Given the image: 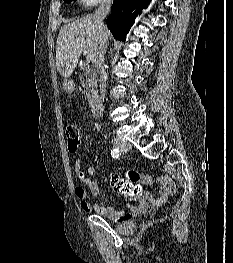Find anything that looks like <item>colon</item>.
Returning <instances> with one entry per match:
<instances>
[{
    "label": "colon",
    "instance_id": "colon-1",
    "mask_svg": "<svg viewBox=\"0 0 233 263\" xmlns=\"http://www.w3.org/2000/svg\"><path fill=\"white\" fill-rule=\"evenodd\" d=\"M68 150L72 153L76 152L82 141L81 128L76 124L69 125L66 130ZM118 174L126 177H112V185L120 194L131 198H138L140 193L145 198L148 194L147 190H142L136 185L139 176H144V171H136V169H118Z\"/></svg>",
    "mask_w": 233,
    "mask_h": 263
}]
</instances>
